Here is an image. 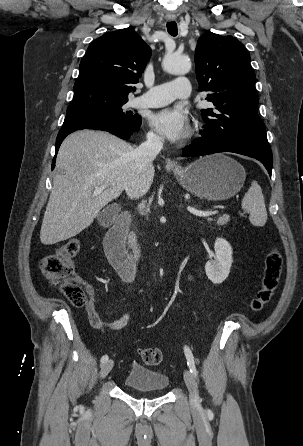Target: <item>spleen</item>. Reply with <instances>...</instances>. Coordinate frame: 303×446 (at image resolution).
I'll return each mask as SVG.
<instances>
[{"label":"spleen","instance_id":"1","mask_svg":"<svg viewBox=\"0 0 303 446\" xmlns=\"http://www.w3.org/2000/svg\"><path fill=\"white\" fill-rule=\"evenodd\" d=\"M243 210L249 212V220L254 226H264L267 221V211L262 189L257 181H252L245 194L242 204Z\"/></svg>","mask_w":303,"mask_h":446}]
</instances>
